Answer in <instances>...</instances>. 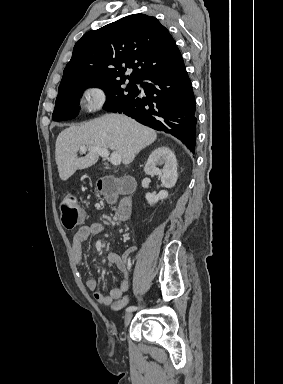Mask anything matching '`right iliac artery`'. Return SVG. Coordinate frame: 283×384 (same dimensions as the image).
I'll return each mask as SVG.
<instances>
[{
	"label": "right iliac artery",
	"mask_w": 283,
	"mask_h": 384,
	"mask_svg": "<svg viewBox=\"0 0 283 384\" xmlns=\"http://www.w3.org/2000/svg\"><path fill=\"white\" fill-rule=\"evenodd\" d=\"M136 309H137V307H135V306H129V307L126 308V312H128V311H134V310H136Z\"/></svg>",
	"instance_id": "right-iliac-artery-1"
}]
</instances>
